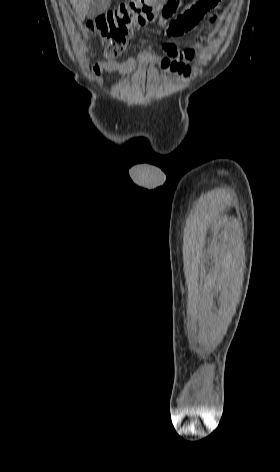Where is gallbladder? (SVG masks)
Masks as SVG:
<instances>
[{
	"instance_id": "bac80fb5",
	"label": "gallbladder",
	"mask_w": 280,
	"mask_h": 472,
	"mask_svg": "<svg viewBox=\"0 0 280 472\" xmlns=\"http://www.w3.org/2000/svg\"><path fill=\"white\" fill-rule=\"evenodd\" d=\"M110 0H91L89 5L88 16L90 18L97 17L108 10Z\"/></svg>"
}]
</instances>
